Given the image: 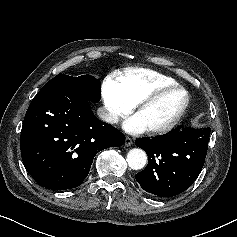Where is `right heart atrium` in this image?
<instances>
[{
	"instance_id": "obj_1",
	"label": "right heart atrium",
	"mask_w": 237,
	"mask_h": 237,
	"mask_svg": "<svg viewBox=\"0 0 237 237\" xmlns=\"http://www.w3.org/2000/svg\"><path fill=\"white\" fill-rule=\"evenodd\" d=\"M101 96L104 103V118L110 124H116L134 108L116 85L113 76H108L103 81Z\"/></svg>"
}]
</instances>
